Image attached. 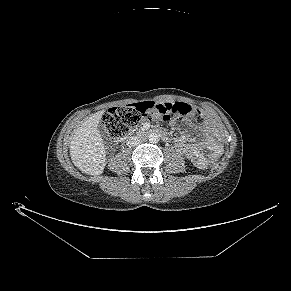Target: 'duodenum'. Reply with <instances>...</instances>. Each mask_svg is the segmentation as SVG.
I'll use <instances>...</instances> for the list:
<instances>
[{"instance_id":"410a0bca","label":"duodenum","mask_w":291,"mask_h":291,"mask_svg":"<svg viewBox=\"0 0 291 291\" xmlns=\"http://www.w3.org/2000/svg\"><path fill=\"white\" fill-rule=\"evenodd\" d=\"M148 133H149V132L146 131V130H141V131H139V132L137 133V135H139V136H144V135H147ZM156 133L163 134V132H162L161 130H156ZM132 136H133V135H128V136L125 138V140L131 138Z\"/></svg>"}]
</instances>
